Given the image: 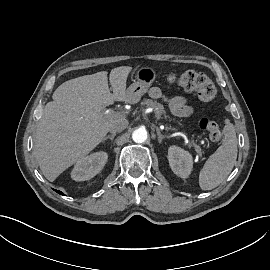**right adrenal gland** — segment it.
I'll return each mask as SVG.
<instances>
[{
  "label": "right adrenal gland",
  "mask_w": 270,
  "mask_h": 270,
  "mask_svg": "<svg viewBox=\"0 0 270 270\" xmlns=\"http://www.w3.org/2000/svg\"><path fill=\"white\" fill-rule=\"evenodd\" d=\"M116 133H112L111 135H108L106 136L104 139H103V142L106 141L107 139H110V141L112 142L114 137H115Z\"/></svg>",
  "instance_id": "2a0ac1e0"
}]
</instances>
